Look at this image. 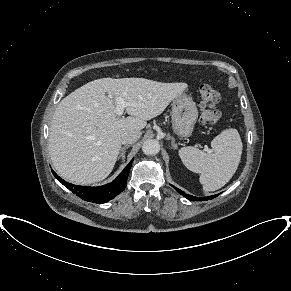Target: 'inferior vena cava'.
Here are the masks:
<instances>
[{
  "mask_svg": "<svg viewBox=\"0 0 291 291\" xmlns=\"http://www.w3.org/2000/svg\"><path fill=\"white\" fill-rule=\"evenodd\" d=\"M141 137V131L132 130L126 131L121 135L122 144H132L136 142Z\"/></svg>",
  "mask_w": 291,
  "mask_h": 291,
  "instance_id": "1",
  "label": "inferior vena cava"
}]
</instances>
